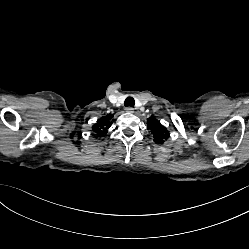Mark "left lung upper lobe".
<instances>
[{"instance_id": "left-lung-upper-lobe-1", "label": "left lung upper lobe", "mask_w": 249, "mask_h": 249, "mask_svg": "<svg viewBox=\"0 0 249 249\" xmlns=\"http://www.w3.org/2000/svg\"><path fill=\"white\" fill-rule=\"evenodd\" d=\"M147 121V128L151 130L154 141L156 143L163 144V142L169 138V132L167 129L154 117L148 118Z\"/></svg>"}]
</instances>
